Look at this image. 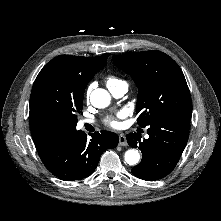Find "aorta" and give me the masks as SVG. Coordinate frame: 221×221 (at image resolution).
Wrapping results in <instances>:
<instances>
[{"label":"aorta","instance_id":"aorta-1","mask_svg":"<svg viewBox=\"0 0 221 221\" xmlns=\"http://www.w3.org/2000/svg\"><path fill=\"white\" fill-rule=\"evenodd\" d=\"M91 104L96 108H105L110 104L111 96L105 89H95L90 95ZM140 154L138 150L130 149L125 153V161L129 165H136L139 162Z\"/></svg>","mask_w":221,"mask_h":221}]
</instances>
